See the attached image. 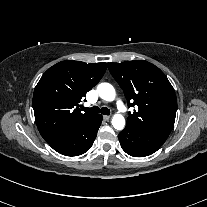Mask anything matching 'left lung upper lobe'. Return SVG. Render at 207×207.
Here are the masks:
<instances>
[{
	"mask_svg": "<svg viewBox=\"0 0 207 207\" xmlns=\"http://www.w3.org/2000/svg\"><path fill=\"white\" fill-rule=\"evenodd\" d=\"M109 71L124 90L129 113L126 126L168 138L176 116L177 99L165 74L144 60L108 63Z\"/></svg>",
	"mask_w": 207,
	"mask_h": 207,
	"instance_id": "5c2ea615",
	"label": "left lung upper lobe"
}]
</instances>
